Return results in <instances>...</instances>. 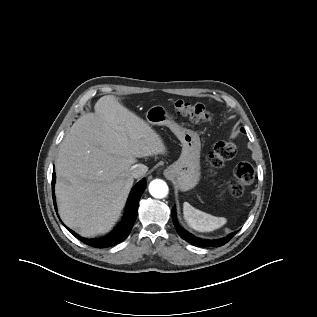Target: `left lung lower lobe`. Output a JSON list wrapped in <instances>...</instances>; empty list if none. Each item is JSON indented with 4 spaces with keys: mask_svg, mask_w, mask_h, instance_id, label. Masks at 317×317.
Segmentation results:
<instances>
[{
    "mask_svg": "<svg viewBox=\"0 0 317 317\" xmlns=\"http://www.w3.org/2000/svg\"><path fill=\"white\" fill-rule=\"evenodd\" d=\"M172 220H173L174 226H175L178 234L180 235V237L183 238L184 240H186L187 242L191 243L192 245L198 246V247H220V246H223L228 241H230L234 237V235L236 234V232H233V233L229 234L228 236H226L222 239H218V240H207V239L198 238V237L190 234L189 232H187L185 229H183L178 224V221H177L176 216H175V208L172 209Z\"/></svg>",
    "mask_w": 317,
    "mask_h": 317,
    "instance_id": "obj_1",
    "label": "left lung lower lobe"
}]
</instances>
